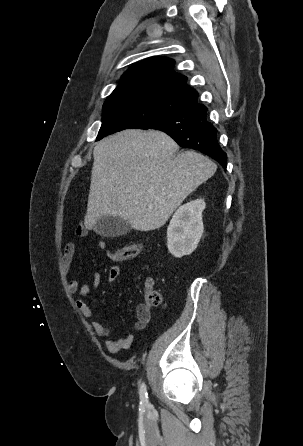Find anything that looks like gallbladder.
I'll use <instances>...</instances> for the list:
<instances>
[{"instance_id": "bac80fb5", "label": "gallbladder", "mask_w": 303, "mask_h": 446, "mask_svg": "<svg viewBox=\"0 0 303 446\" xmlns=\"http://www.w3.org/2000/svg\"><path fill=\"white\" fill-rule=\"evenodd\" d=\"M94 230L102 236L115 237L126 234L130 227L119 217H103L97 220Z\"/></svg>"}]
</instances>
